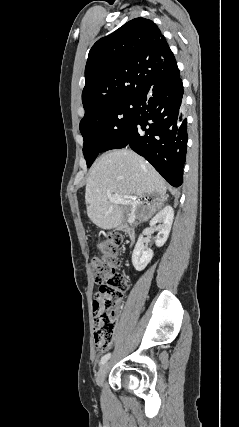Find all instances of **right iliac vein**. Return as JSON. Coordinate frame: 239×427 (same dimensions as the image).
Instances as JSON below:
<instances>
[{"mask_svg":"<svg viewBox=\"0 0 239 427\" xmlns=\"http://www.w3.org/2000/svg\"><path fill=\"white\" fill-rule=\"evenodd\" d=\"M107 370H108V363H104V364L100 367V369H99V371H98V373H97V376H96V382H97V385H98V386H101V385L103 384V381H104V379H105V376H106Z\"/></svg>","mask_w":239,"mask_h":427,"instance_id":"1","label":"right iliac vein"}]
</instances>
